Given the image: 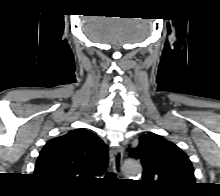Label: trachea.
Listing matches in <instances>:
<instances>
[{
	"label": "trachea",
	"instance_id": "3493384b",
	"mask_svg": "<svg viewBox=\"0 0 220 196\" xmlns=\"http://www.w3.org/2000/svg\"><path fill=\"white\" fill-rule=\"evenodd\" d=\"M115 177H116V175L114 173H109L108 174L109 179H114Z\"/></svg>",
	"mask_w": 220,
	"mask_h": 196
}]
</instances>
